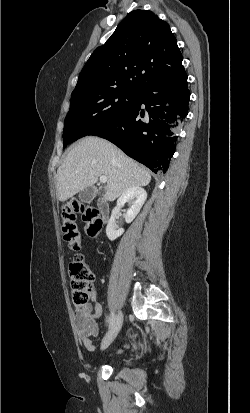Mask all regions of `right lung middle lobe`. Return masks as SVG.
Segmentation results:
<instances>
[{
    "label": "right lung middle lobe",
    "instance_id": "obj_1",
    "mask_svg": "<svg viewBox=\"0 0 250 413\" xmlns=\"http://www.w3.org/2000/svg\"><path fill=\"white\" fill-rule=\"evenodd\" d=\"M138 91L120 87L72 94L70 110L65 119L63 148L122 113L135 101Z\"/></svg>",
    "mask_w": 250,
    "mask_h": 413
}]
</instances>
